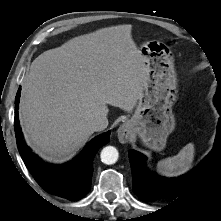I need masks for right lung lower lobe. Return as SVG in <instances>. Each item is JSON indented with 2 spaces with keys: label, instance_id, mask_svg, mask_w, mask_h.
Masks as SVG:
<instances>
[{
  "label": "right lung lower lobe",
  "instance_id": "98d812e1",
  "mask_svg": "<svg viewBox=\"0 0 221 221\" xmlns=\"http://www.w3.org/2000/svg\"><path fill=\"white\" fill-rule=\"evenodd\" d=\"M20 88L15 98V136L20 155L37 183L48 193L76 201L91 187L93 159L102 146L109 142L110 131L94 138L71 163L51 165L39 159L25 144L18 120Z\"/></svg>",
  "mask_w": 221,
  "mask_h": 221
}]
</instances>
